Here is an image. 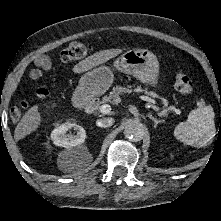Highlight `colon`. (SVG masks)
<instances>
[{"label":"colon","mask_w":221,"mask_h":221,"mask_svg":"<svg viewBox=\"0 0 221 221\" xmlns=\"http://www.w3.org/2000/svg\"><path fill=\"white\" fill-rule=\"evenodd\" d=\"M90 53V46L82 42H72L65 46L60 53V59L63 62H72L85 58ZM176 89L184 95H191L194 92V82L185 75L179 74L176 78ZM35 102L44 104L47 111H52L55 108V103L48 100V92L44 88H39L34 95H30L10 110V118L13 121H18L25 110H27Z\"/></svg>","instance_id":"1"}]
</instances>
